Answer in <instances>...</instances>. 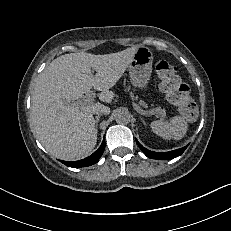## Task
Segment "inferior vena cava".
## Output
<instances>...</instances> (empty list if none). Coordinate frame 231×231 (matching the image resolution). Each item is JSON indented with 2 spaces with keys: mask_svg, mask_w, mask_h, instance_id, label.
<instances>
[{
  "mask_svg": "<svg viewBox=\"0 0 231 231\" xmlns=\"http://www.w3.org/2000/svg\"><path fill=\"white\" fill-rule=\"evenodd\" d=\"M108 110H109V108L103 105V106H100L99 108L95 109L93 111V114H97V115L107 114Z\"/></svg>",
  "mask_w": 231,
  "mask_h": 231,
  "instance_id": "inferior-vena-cava-1",
  "label": "inferior vena cava"
}]
</instances>
